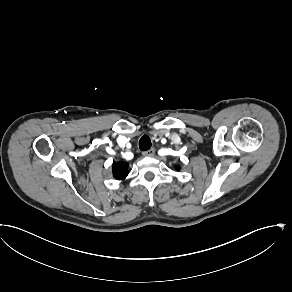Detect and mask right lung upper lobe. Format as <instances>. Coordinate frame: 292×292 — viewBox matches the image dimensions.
I'll list each match as a JSON object with an SVG mask.
<instances>
[{"label":"right lung upper lobe","mask_w":292,"mask_h":292,"mask_svg":"<svg viewBox=\"0 0 292 292\" xmlns=\"http://www.w3.org/2000/svg\"><path fill=\"white\" fill-rule=\"evenodd\" d=\"M128 175V164L120 161L113 164V176L117 180H124Z\"/></svg>","instance_id":"cb5924a9"}]
</instances>
